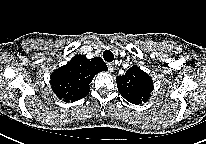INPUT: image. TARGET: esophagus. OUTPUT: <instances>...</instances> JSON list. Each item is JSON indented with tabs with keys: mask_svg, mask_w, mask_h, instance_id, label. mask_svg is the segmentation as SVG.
Wrapping results in <instances>:
<instances>
[{
	"mask_svg": "<svg viewBox=\"0 0 206 144\" xmlns=\"http://www.w3.org/2000/svg\"><path fill=\"white\" fill-rule=\"evenodd\" d=\"M107 67H108V70H109L110 72H113V70L115 69L113 63H108V64H107Z\"/></svg>",
	"mask_w": 206,
	"mask_h": 144,
	"instance_id": "1",
	"label": "esophagus"
}]
</instances>
